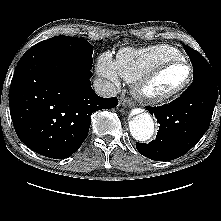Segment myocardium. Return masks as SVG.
<instances>
[{"label":"myocardium","mask_w":221,"mask_h":221,"mask_svg":"<svg viewBox=\"0 0 221 221\" xmlns=\"http://www.w3.org/2000/svg\"><path fill=\"white\" fill-rule=\"evenodd\" d=\"M177 65H184L189 69V76L187 80L181 86L169 92L160 94L153 93L151 91V87L153 83L157 80V78L166 70ZM193 78L194 68L190 62L186 61L185 59L171 60L157 66L148 74L137 80L133 90L135 96L142 102L148 105H163L174 100L175 98L180 96L184 91H186L191 85Z\"/></svg>","instance_id":"obj_1"}]
</instances>
